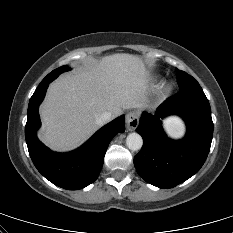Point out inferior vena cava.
<instances>
[{
	"label": "inferior vena cava",
	"mask_w": 233,
	"mask_h": 233,
	"mask_svg": "<svg viewBox=\"0 0 233 233\" xmlns=\"http://www.w3.org/2000/svg\"><path fill=\"white\" fill-rule=\"evenodd\" d=\"M112 113L111 112H104L99 117L96 118V123L99 126H102L109 122L112 119Z\"/></svg>",
	"instance_id": "obj_1"
}]
</instances>
